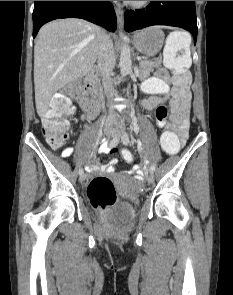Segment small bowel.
Wrapping results in <instances>:
<instances>
[{"label":"small bowel","mask_w":233,"mask_h":295,"mask_svg":"<svg viewBox=\"0 0 233 295\" xmlns=\"http://www.w3.org/2000/svg\"><path fill=\"white\" fill-rule=\"evenodd\" d=\"M142 90L152 95L150 98L143 101V108L154 110L158 127L173 129L177 132L181 144H184L188 137L191 103L190 91L176 95L163 69H159L153 77L147 79L142 85ZM83 112L82 118L84 120L88 119L89 114L84 110ZM168 112H170L169 121H167ZM106 150L112 153L115 152L116 149L108 145ZM73 151V147H68L62 151L61 155L63 157H69ZM117 162V159L113 158L107 164H100L95 156H91L86 169L89 172L99 171L113 174L116 171ZM144 173V167L139 166L136 169L135 178L142 180Z\"/></svg>","instance_id":"small-bowel-1"}]
</instances>
